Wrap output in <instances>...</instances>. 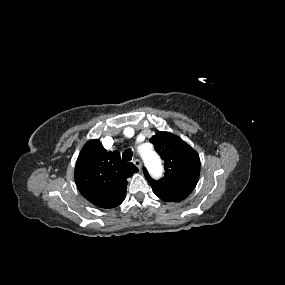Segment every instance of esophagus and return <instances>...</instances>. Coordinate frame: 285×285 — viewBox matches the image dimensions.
I'll list each match as a JSON object with an SVG mask.
<instances>
[{
	"label": "esophagus",
	"instance_id": "1",
	"mask_svg": "<svg viewBox=\"0 0 285 285\" xmlns=\"http://www.w3.org/2000/svg\"><path fill=\"white\" fill-rule=\"evenodd\" d=\"M133 163L135 164V166H137L140 170L142 168V163L139 159H134Z\"/></svg>",
	"mask_w": 285,
	"mask_h": 285
}]
</instances>
